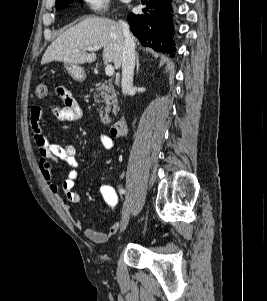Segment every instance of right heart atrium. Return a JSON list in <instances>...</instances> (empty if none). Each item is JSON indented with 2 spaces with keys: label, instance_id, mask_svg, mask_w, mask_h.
<instances>
[{
  "label": "right heart atrium",
  "instance_id": "1",
  "mask_svg": "<svg viewBox=\"0 0 267 301\" xmlns=\"http://www.w3.org/2000/svg\"><path fill=\"white\" fill-rule=\"evenodd\" d=\"M86 7L97 13L108 11L110 0H84Z\"/></svg>",
  "mask_w": 267,
  "mask_h": 301
}]
</instances>
